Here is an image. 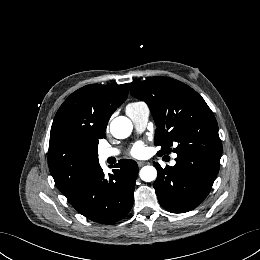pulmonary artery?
<instances>
[{
  "mask_svg": "<svg viewBox=\"0 0 260 260\" xmlns=\"http://www.w3.org/2000/svg\"><path fill=\"white\" fill-rule=\"evenodd\" d=\"M126 114L138 132L145 129L149 118V108L146 104H129L126 107ZM119 154L120 151L117 148H104L99 151V155L102 159L114 157Z\"/></svg>",
  "mask_w": 260,
  "mask_h": 260,
  "instance_id": "1",
  "label": "pulmonary artery"
}]
</instances>
